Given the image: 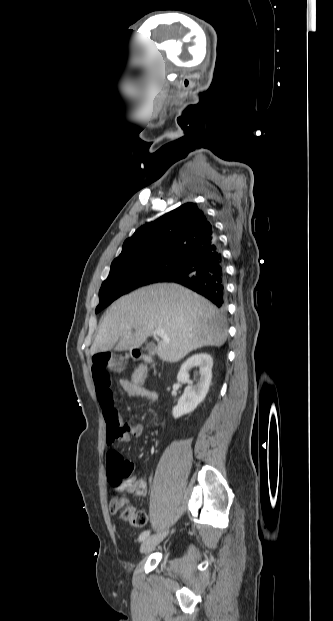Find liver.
Returning a JSON list of instances; mask_svg holds the SVG:
<instances>
[{
    "instance_id": "1",
    "label": "liver",
    "mask_w": 333,
    "mask_h": 621,
    "mask_svg": "<svg viewBox=\"0 0 333 621\" xmlns=\"http://www.w3.org/2000/svg\"><path fill=\"white\" fill-rule=\"evenodd\" d=\"M224 316L209 301L177 284H154L115 301L100 322L91 355L132 350L164 329L155 350L167 362H177L203 346H222L227 339Z\"/></svg>"
}]
</instances>
